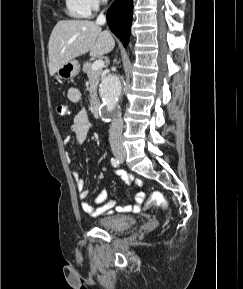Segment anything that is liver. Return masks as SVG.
Listing matches in <instances>:
<instances>
[{
	"instance_id": "6515ba94",
	"label": "liver",
	"mask_w": 243,
	"mask_h": 289,
	"mask_svg": "<svg viewBox=\"0 0 243 289\" xmlns=\"http://www.w3.org/2000/svg\"><path fill=\"white\" fill-rule=\"evenodd\" d=\"M114 46L112 35L93 21H58L48 44L49 73L53 76L62 65L88 52L92 57L107 54Z\"/></svg>"
}]
</instances>
